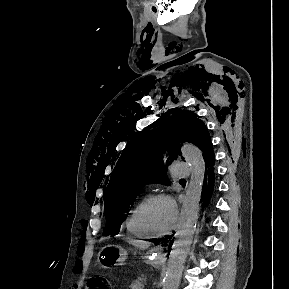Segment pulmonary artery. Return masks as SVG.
I'll use <instances>...</instances> for the list:
<instances>
[{
  "label": "pulmonary artery",
  "mask_w": 289,
  "mask_h": 289,
  "mask_svg": "<svg viewBox=\"0 0 289 289\" xmlns=\"http://www.w3.org/2000/svg\"><path fill=\"white\" fill-rule=\"evenodd\" d=\"M190 165L183 161H175L170 166V172L175 177L187 178L189 176Z\"/></svg>",
  "instance_id": "obj_1"
}]
</instances>
